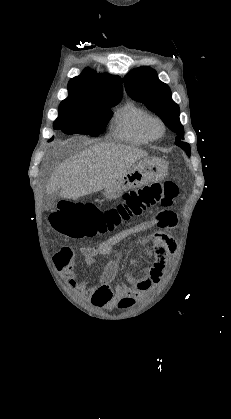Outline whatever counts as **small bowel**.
I'll use <instances>...</instances> for the list:
<instances>
[{
	"instance_id": "small-bowel-1",
	"label": "small bowel",
	"mask_w": 231,
	"mask_h": 419,
	"mask_svg": "<svg viewBox=\"0 0 231 419\" xmlns=\"http://www.w3.org/2000/svg\"><path fill=\"white\" fill-rule=\"evenodd\" d=\"M162 221L165 223L164 226L161 225ZM176 225V214L173 211L165 210L147 221L125 228L110 236L102 241L97 248L85 246L80 249L84 262L91 265L95 262L96 256H109L112 249L129 236L147 231L155 226L163 227L165 232L155 231L150 236L139 240V243L152 244L148 253L154 257V262L144 276L128 277V285L111 286L115 282L118 272V265L114 260L108 261L98 284L93 286H90L84 279L78 280L75 251L72 248L65 247L61 250L66 263L61 264L59 259L53 261L67 284L88 299L93 307L111 309L125 297L131 298L133 301L141 298L162 281L170 256L174 255L178 249L176 240L166 232H174Z\"/></svg>"
}]
</instances>
